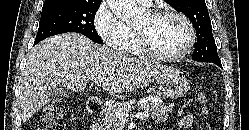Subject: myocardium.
Returning a JSON list of instances; mask_svg holds the SVG:
<instances>
[{
	"label": "myocardium",
	"mask_w": 249,
	"mask_h": 130,
	"mask_svg": "<svg viewBox=\"0 0 249 130\" xmlns=\"http://www.w3.org/2000/svg\"><path fill=\"white\" fill-rule=\"evenodd\" d=\"M149 16L152 19H158V18L165 17V16H173V17L180 19L186 25L188 29L189 37H188V41L186 42L185 46L180 51L174 54L167 55V54H161L155 51L152 48L147 35L143 31L137 29L136 33L138 36L139 45H140L142 53L145 56L156 61L171 62V61H176V60H179L185 57L192 50L196 42V30H195V27L192 21L185 14L174 9H157V10L150 11Z\"/></svg>",
	"instance_id": "f54148a6"
}]
</instances>
